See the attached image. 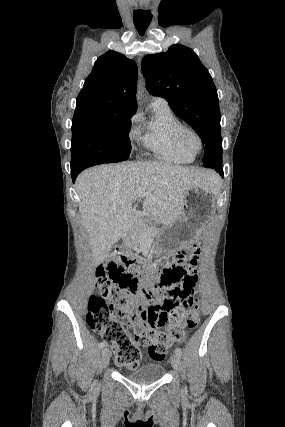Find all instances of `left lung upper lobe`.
I'll return each mask as SVG.
<instances>
[{
	"instance_id": "1",
	"label": "left lung upper lobe",
	"mask_w": 285,
	"mask_h": 427,
	"mask_svg": "<svg viewBox=\"0 0 285 427\" xmlns=\"http://www.w3.org/2000/svg\"><path fill=\"white\" fill-rule=\"evenodd\" d=\"M150 94L165 98L173 112L200 136L204 167L222 164L221 114L211 75L190 48L175 44L146 55L141 63Z\"/></svg>"
}]
</instances>
